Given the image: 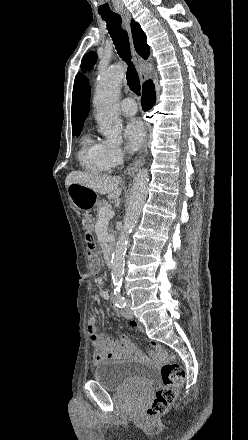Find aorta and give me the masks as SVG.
<instances>
[{
    "instance_id": "1",
    "label": "aorta",
    "mask_w": 248,
    "mask_h": 440,
    "mask_svg": "<svg viewBox=\"0 0 248 440\" xmlns=\"http://www.w3.org/2000/svg\"><path fill=\"white\" fill-rule=\"evenodd\" d=\"M124 75L125 66L122 64H115L101 72L94 96L95 118L100 126V132L112 144L122 142V120L118 113V97ZM148 183L149 173L143 168L134 179L123 227L112 254L111 275L115 286H120L122 283L129 235L141 215L147 197Z\"/></svg>"
}]
</instances>
